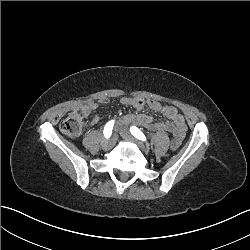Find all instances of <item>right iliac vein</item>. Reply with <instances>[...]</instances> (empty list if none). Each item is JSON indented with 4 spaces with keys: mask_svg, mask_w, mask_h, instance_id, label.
Returning <instances> with one entry per match:
<instances>
[{
    "mask_svg": "<svg viewBox=\"0 0 250 250\" xmlns=\"http://www.w3.org/2000/svg\"><path fill=\"white\" fill-rule=\"evenodd\" d=\"M116 135H114L111 139H104L103 142H102V147L104 149H110L112 148L114 145H115V142H116Z\"/></svg>",
    "mask_w": 250,
    "mask_h": 250,
    "instance_id": "right-iliac-vein-1",
    "label": "right iliac vein"
}]
</instances>
